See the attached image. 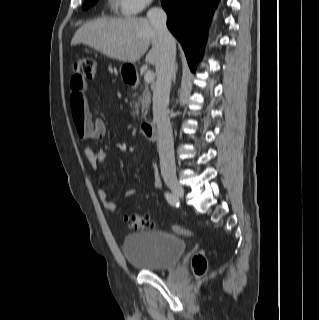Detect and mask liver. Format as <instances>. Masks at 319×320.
<instances>
[{
  "mask_svg": "<svg viewBox=\"0 0 319 320\" xmlns=\"http://www.w3.org/2000/svg\"><path fill=\"white\" fill-rule=\"evenodd\" d=\"M87 45L103 55L123 62L135 63L152 45L145 62L157 71L162 49L156 30L146 18H100L80 27L71 45Z\"/></svg>",
  "mask_w": 319,
  "mask_h": 320,
  "instance_id": "liver-1",
  "label": "liver"
}]
</instances>
